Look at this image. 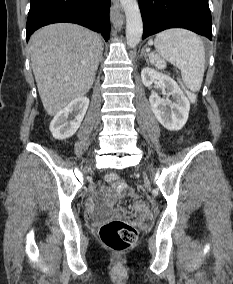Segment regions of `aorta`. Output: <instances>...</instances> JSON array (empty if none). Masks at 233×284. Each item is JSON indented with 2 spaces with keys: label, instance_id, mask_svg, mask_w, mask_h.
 <instances>
[{
  "label": "aorta",
  "instance_id": "aorta-1",
  "mask_svg": "<svg viewBox=\"0 0 233 284\" xmlns=\"http://www.w3.org/2000/svg\"><path fill=\"white\" fill-rule=\"evenodd\" d=\"M126 16V40L129 47H136L143 34V23L137 0H120Z\"/></svg>",
  "mask_w": 233,
  "mask_h": 284
}]
</instances>
